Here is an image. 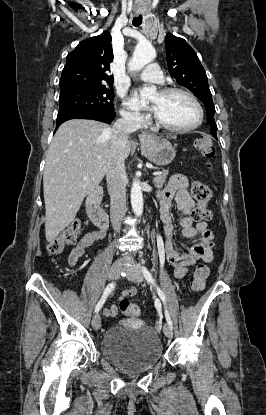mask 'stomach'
I'll list each match as a JSON object with an SVG mask.
<instances>
[{"instance_id": "1", "label": "stomach", "mask_w": 266, "mask_h": 415, "mask_svg": "<svg viewBox=\"0 0 266 415\" xmlns=\"http://www.w3.org/2000/svg\"><path fill=\"white\" fill-rule=\"evenodd\" d=\"M142 154L158 166L170 164L175 157V148L172 144L157 137H149L141 142Z\"/></svg>"}]
</instances>
